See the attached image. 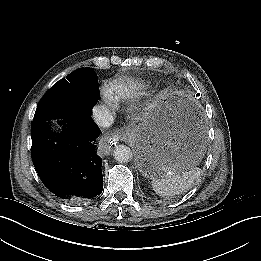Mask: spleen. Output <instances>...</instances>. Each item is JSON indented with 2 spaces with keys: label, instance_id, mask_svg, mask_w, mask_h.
Returning a JSON list of instances; mask_svg holds the SVG:
<instances>
[{
  "label": "spleen",
  "instance_id": "spleen-1",
  "mask_svg": "<svg viewBox=\"0 0 261 261\" xmlns=\"http://www.w3.org/2000/svg\"><path fill=\"white\" fill-rule=\"evenodd\" d=\"M200 175L201 169L198 167L178 173L172 171L171 175L165 174L162 178L153 179L152 187L157 195L171 197L189 190Z\"/></svg>",
  "mask_w": 261,
  "mask_h": 261
}]
</instances>
